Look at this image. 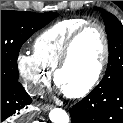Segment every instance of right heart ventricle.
Returning a JSON list of instances; mask_svg holds the SVG:
<instances>
[{
    "mask_svg": "<svg viewBox=\"0 0 123 123\" xmlns=\"http://www.w3.org/2000/svg\"><path fill=\"white\" fill-rule=\"evenodd\" d=\"M87 22L88 20L82 18L56 22L34 40L33 54L48 71H52L68 37Z\"/></svg>",
    "mask_w": 123,
    "mask_h": 123,
    "instance_id": "e07e8e85",
    "label": "right heart ventricle"
}]
</instances>
